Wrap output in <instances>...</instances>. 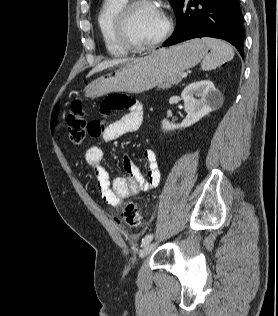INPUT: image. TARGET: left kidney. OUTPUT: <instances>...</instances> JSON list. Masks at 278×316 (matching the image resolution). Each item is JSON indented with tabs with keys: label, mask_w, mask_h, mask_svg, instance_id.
Masks as SVG:
<instances>
[{
	"label": "left kidney",
	"mask_w": 278,
	"mask_h": 316,
	"mask_svg": "<svg viewBox=\"0 0 278 316\" xmlns=\"http://www.w3.org/2000/svg\"><path fill=\"white\" fill-rule=\"evenodd\" d=\"M197 98H195V97ZM182 99L187 113L181 124H172L168 120L162 121L164 131L185 128L198 122L202 117L215 109L220 101V92L210 80L191 83L182 91Z\"/></svg>",
	"instance_id": "5707ae66"
}]
</instances>
